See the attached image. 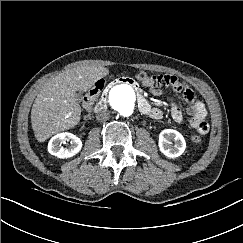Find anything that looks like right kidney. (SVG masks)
<instances>
[{
    "label": "right kidney",
    "mask_w": 243,
    "mask_h": 243,
    "mask_svg": "<svg viewBox=\"0 0 243 243\" xmlns=\"http://www.w3.org/2000/svg\"><path fill=\"white\" fill-rule=\"evenodd\" d=\"M64 141H70V146L67 148L61 147ZM82 148L80 138L69 132H63L52 137L48 143V152L58 158H69L76 155Z\"/></svg>",
    "instance_id": "right-kidney-1"
}]
</instances>
